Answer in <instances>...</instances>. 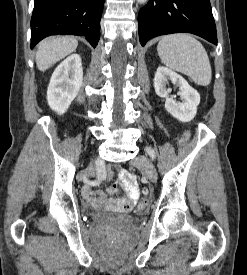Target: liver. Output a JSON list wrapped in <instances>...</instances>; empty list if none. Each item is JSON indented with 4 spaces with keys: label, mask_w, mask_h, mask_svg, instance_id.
I'll use <instances>...</instances> for the list:
<instances>
[{
    "label": "liver",
    "mask_w": 247,
    "mask_h": 275,
    "mask_svg": "<svg viewBox=\"0 0 247 275\" xmlns=\"http://www.w3.org/2000/svg\"><path fill=\"white\" fill-rule=\"evenodd\" d=\"M78 41L72 37H53L42 41L36 52V65L45 71L76 50Z\"/></svg>",
    "instance_id": "obj_1"
}]
</instances>
